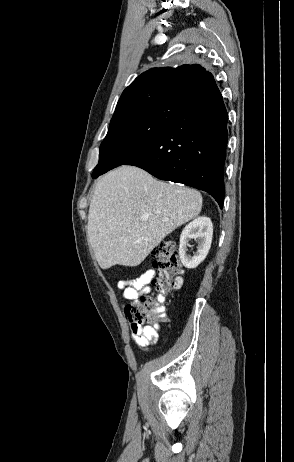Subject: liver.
<instances>
[{"label": "liver", "instance_id": "6515ba94", "mask_svg": "<svg viewBox=\"0 0 294 462\" xmlns=\"http://www.w3.org/2000/svg\"><path fill=\"white\" fill-rule=\"evenodd\" d=\"M201 209L196 190L158 181L134 166L108 172L96 184L88 214L87 234L99 266L139 265Z\"/></svg>", "mask_w": 294, "mask_h": 462}]
</instances>
